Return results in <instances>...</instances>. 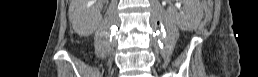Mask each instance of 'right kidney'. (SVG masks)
<instances>
[{
	"mask_svg": "<svg viewBox=\"0 0 258 77\" xmlns=\"http://www.w3.org/2000/svg\"><path fill=\"white\" fill-rule=\"evenodd\" d=\"M87 2H88V5L91 6L93 4L91 2H95V0H87ZM97 24H98L97 19L94 22L89 24L78 21V22H73V27L78 34L82 36H89L94 31Z\"/></svg>",
	"mask_w": 258,
	"mask_h": 77,
	"instance_id": "right-kidney-1",
	"label": "right kidney"
}]
</instances>
